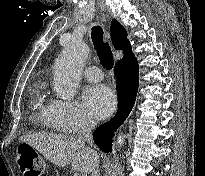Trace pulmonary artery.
Masks as SVG:
<instances>
[{
  "label": "pulmonary artery",
  "instance_id": "pulmonary-artery-1",
  "mask_svg": "<svg viewBox=\"0 0 205 176\" xmlns=\"http://www.w3.org/2000/svg\"><path fill=\"white\" fill-rule=\"evenodd\" d=\"M82 74L87 80L92 82L101 81L103 78V72L96 66L86 67Z\"/></svg>",
  "mask_w": 205,
  "mask_h": 176
}]
</instances>
